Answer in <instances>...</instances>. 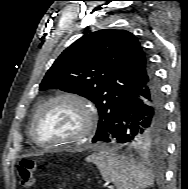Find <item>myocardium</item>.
<instances>
[{"label":"myocardium","mask_w":188,"mask_h":189,"mask_svg":"<svg viewBox=\"0 0 188 189\" xmlns=\"http://www.w3.org/2000/svg\"><path fill=\"white\" fill-rule=\"evenodd\" d=\"M60 101H68L74 103L80 108L83 114V125L81 129L74 136L70 138L57 140L53 142H43L38 139L36 134L37 121L40 115L42 114V112L48 106ZM96 123H97V116H96L95 108L87 98L73 92H60L48 98L38 107L31 121L30 135L33 141L42 147H60V146L72 145L88 137L95 129Z\"/></svg>","instance_id":"obj_1"}]
</instances>
